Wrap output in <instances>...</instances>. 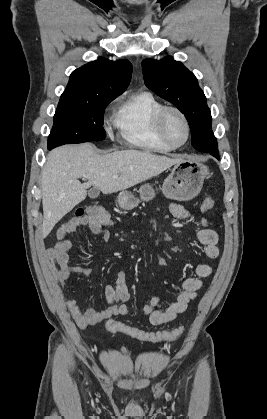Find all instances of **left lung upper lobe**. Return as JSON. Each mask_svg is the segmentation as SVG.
<instances>
[{
  "label": "left lung upper lobe",
  "instance_id": "1",
  "mask_svg": "<svg viewBox=\"0 0 267 419\" xmlns=\"http://www.w3.org/2000/svg\"><path fill=\"white\" fill-rule=\"evenodd\" d=\"M142 70L146 86L185 114L192 132V146L216 156L218 146L211 130V112L194 74L170 56L145 59Z\"/></svg>",
  "mask_w": 267,
  "mask_h": 419
}]
</instances>
